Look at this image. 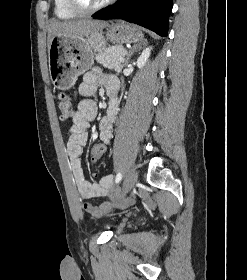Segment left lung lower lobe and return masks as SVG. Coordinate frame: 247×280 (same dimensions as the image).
Masks as SVG:
<instances>
[{
	"label": "left lung lower lobe",
	"instance_id": "left-lung-lower-lobe-1",
	"mask_svg": "<svg viewBox=\"0 0 247 280\" xmlns=\"http://www.w3.org/2000/svg\"><path fill=\"white\" fill-rule=\"evenodd\" d=\"M172 7L173 0H118L93 18L127 20L165 37Z\"/></svg>",
	"mask_w": 247,
	"mask_h": 280
}]
</instances>
